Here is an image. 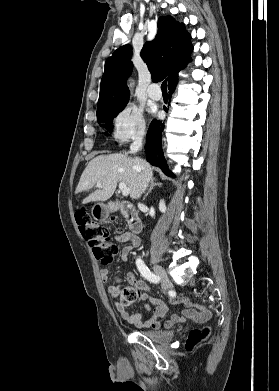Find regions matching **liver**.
Listing matches in <instances>:
<instances>
[{"instance_id": "6515ba94", "label": "liver", "mask_w": 279, "mask_h": 391, "mask_svg": "<svg viewBox=\"0 0 279 391\" xmlns=\"http://www.w3.org/2000/svg\"><path fill=\"white\" fill-rule=\"evenodd\" d=\"M153 180L151 165L141 158H129L122 154L100 155L93 158L83 171L75 193L98 187L85 200L106 201L114 193L117 183L123 182L130 189L132 199L139 198ZM97 182H101L98 186Z\"/></svg>"}]
</instances>
